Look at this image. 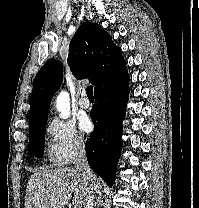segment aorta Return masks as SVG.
<instances>
[{
  "instance_id": "762f6f07",
  "label": "aorta",
  "mask_w": 199,
  "mask_h": 208,
  "mask_svg": "<svg viewBox=\"0 0 199 208\" xmlns=\"http://www.w3.org/2000/svg\"><path fill=\"white\" fill-rule=\"evenodd\" d=\"M56 107L61 113L63 118H67L70 115V99L67 92L62 91L56 100Z\"/></svg>"
}]
</instances>
